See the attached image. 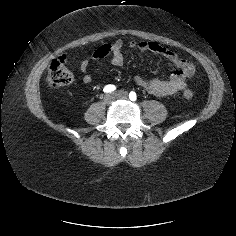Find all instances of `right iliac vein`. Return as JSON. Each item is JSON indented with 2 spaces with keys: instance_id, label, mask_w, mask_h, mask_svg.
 <instances>
[{
  "instance_id": "63e3f726",
  "label": "right iliac vein",
  "mask_w": 236,
  "mask_h": 236,
  "mask_svg": "<svg viewBox=\"0 0 236 236\" xmlns=\"http://www.w3.org/2000/svg\"><path fill=\"white\" fill-rule=\"evenodd\" d=\"M115 96L114 94H106L103 98L105 104L110 105L114 102Z\"/></svg>"
}]
</instances>
